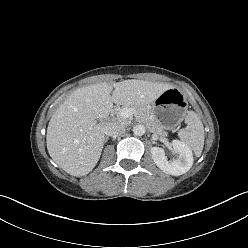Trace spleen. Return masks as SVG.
<instances>
[{"mask_svg": "<svg viewBox=\"0 0 248 248\" xmlns=\"http://www.w3.org/2000/svg\"><path fill=\"white\" fill-rule=\"evenodd\" d=\"M186 127L178 132L179 138L194 151L196 157L202 153L204 146V127L194 111H189L185 117Z\"/></svg>", "mask_w": 248, "mask_h": 248, "instance_id": "obj_1", "label": "spleen"}]
</instances>
